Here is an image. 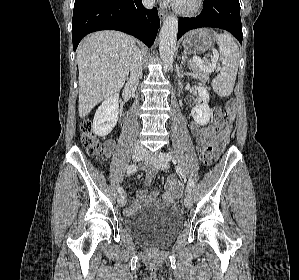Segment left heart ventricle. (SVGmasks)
I'll list each match as a JSON object with an SVG mask.
<instances>
[{"instance_id": "1", "label": "left heart ventricle", "mask_w": 299, "mask_h": 280, "mask_svg": "<svg viewBox=\"0 0 299 280\" xmlns=\"http://www.w3.org/2000/svg\"><path fill=\"white\" fill-rule=\"evenodd\" d=\"M194 2V0H179V4L183 6H189Z\"/></svg>"}]
</instances>
